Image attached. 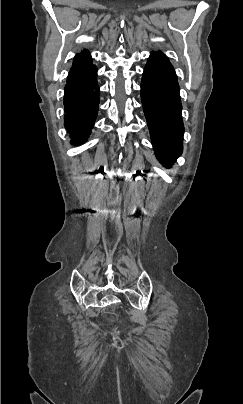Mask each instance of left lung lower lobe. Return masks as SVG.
<instances>
[{
  "label": "left lung lower lobe",
  "mask_w": 243,
  "mask_h": 404,
  "mask_svg": "<svg viewBox=\"0 0 243 404\" xmlns=\"http://www.w3.org/2000/svg\"><path fill=\"white\" fill-rule=\"evenodd\" d=\"M141 99L156 157L171 167L182 153L184 125L177 76L162 53L152 52L148 58Z\"/></svg>",
  "instance_id": "left-lung-lower-lobe-1"
}]
</instances>
